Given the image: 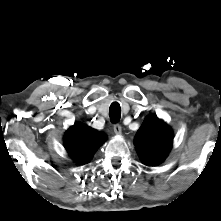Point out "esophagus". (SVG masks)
Returning <instances> with one entry per match:
<instances>
[{
    "label": "esophagus",
    "mask_w": 221,
    "mask_h": 221,
    "mask_svg": "<svg viewBox=\"0 0 221 221\" xmlns=\"http://www.w3.org/2000/svg\"><path fill=\"white\" fill-rule=\"evenodd\" d=\"M113 130L117 135H120L122 133V127L120 124H114Z\"/></svg>",
    "instance_id": "1"
}]
</instances>
